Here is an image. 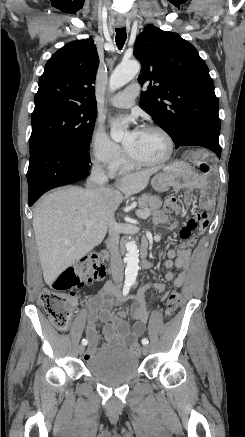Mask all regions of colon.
<instances>
[{
	"label": "colon",
	"mask_w": 245,
	"mask_h": 437,
	"mask_svg": "<svg viewBox=\"0 0 245 437\" xmlns=\"http://www.w3.org/2000/svg\"><path fill=\"white\" fill-rule=\"evenodd\" d=\"M203 172L208 168L199 165ZM176 204V198L167 200V207L172 208ZM106 276L104 265L96 256L87 257L78 262L74 267L63 271L52 283L51 288L41 293V302L52 324L58 330H66L70 324L72 306L74 304V289L83 285L102 281ZM180 301L178 291H172L168 295L165 305L166 317H171L177 310ZM141 346L138 343L131 345V351L135 355L141 354Z\"/></svg>",
	"instance_id": "obj_1"
}]
</instances>
